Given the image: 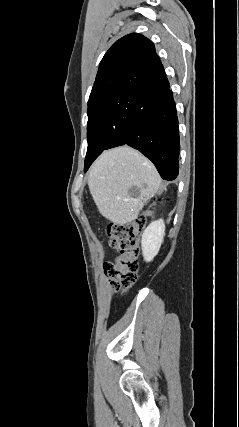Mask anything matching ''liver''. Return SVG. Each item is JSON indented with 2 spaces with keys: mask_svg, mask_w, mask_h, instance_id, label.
I'll return each mask as SVG.
<instances>
[{
  "mask_svg": "<svg viewBox=\"0 0 239 427\" xmlns=\"http://www.w3.org/2000/svg\"><path fill=\"white\" fill-rule=\"evenodd\" d=\"M88 186L106 219L116 224L133 221L145 202L163 191L155 166L129 146L103 152L92 165ZM132 187L137 193H131Z\"/></svg>",
  "mask_w": 239,
  "mask_h": 427,
  "instance_id": "liver-1",
  "label": "liver"
}]
</instances>
